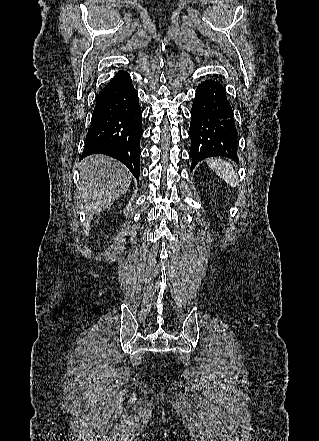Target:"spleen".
Listing matches in <instances>:
<instances>
[{"mask_svg":"<svg viewBox=\"0 0 319 441\" xmlns=\"http://www.w3.org/2000/svg\"><path fill=\"white\" fill-rule=\"evenodd\" d=\"M209 167L217 173V175L225 180L232 187L238 185V176L231 167L230 163L223 159L211 158L207 161Z\"/></svg>","mask_w":319,"mask_h":441,"instance_id":"obj_1","label":"spleen"}]
</instances>
